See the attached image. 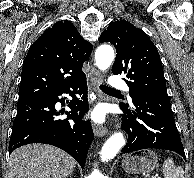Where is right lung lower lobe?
I'll return each instance as SVG.
<instances>
[{
    "label": "right lung lower lobe",
    "instance_id": "obj_1",
    "mask_svg": "<svg viewBox=\"0 0 194 178\" xmlns=\"http://www.w3.org/2000/svg\"><path fill=\"white\" fill-rule=\"evenodd\" d=\"M78 87L49 96L18 101L9 153L26 144L46 143L63 149L78 161L81 168H84L94 134L90 122L78 118L89 109L86 82ZM63 93L72 96L73 101L69 104L71 111L66 112L67 118L60 120L56 119L59 113L55 110V104L63 102L58 97ZM75 93L83 94L81 99H78ZM69 119L73 122H69Z\"/></svg>",
    "mask_w": 194,
    "mask_h": 178
}]
</instances>
